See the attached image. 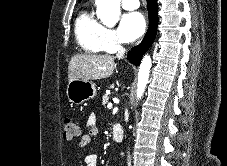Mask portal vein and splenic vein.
I'll return each mask as SVG.
<instances>
[{
    "mask_svg": "<svg viewBox=\"0 0 227 166\" xmlns=\"http://www.w3.org/2000/svg\"><path fill=\"white\" fill-rule=\"evenodd\" d=\"M107 108H108V109H111V108H112V103H109V104L107 105Z\"/></svg>",
    "mask_w": 227,
    "mask_h": 166,
    "instance_id": "18ae733b",
    "label": "portal vein and splenic vein"
}]
</instances>
